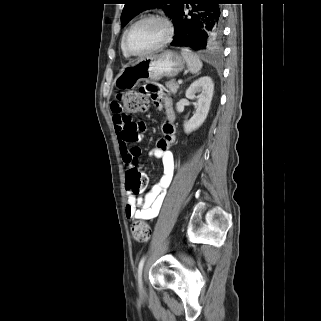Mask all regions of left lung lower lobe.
<instances>
[{"instance_id": "left-lung-lower-lobe-1", "label": "left lung lower lobe", "mask_w": 321, "mask_h": 321, "mask_svg": "<svg viewBox=\"0 0 321 321\" xmlns=\"http://www.w3.org/2000/svg\"><path fill=\"white\" fill-rule=\"evenodd\" d=\"M184 4L191 11H184ZM219 4L223 0H184L173 17L175 36L171 45L219 54L223 42V25Z\"/></svg>"}]
</instances>
